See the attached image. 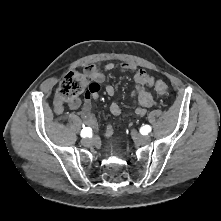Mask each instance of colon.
<instances>
[{
    "instance_id": "colon-1",
    "label": "colon",
    "mask_w": 221,
    "mask_h": 221,
    "mask_svg": "<svg viewBox=\"0 0 221 221\" xmlns=\"http://www.w3.org/2000/svg\"><path fill=\"white\" fill-rule=\"evenodd\" d=\"M85 88H90L88 75L73 71L63 78L57 96L60 100H68L82 94ZM154 88L159 95H166L168 93V85L162 80H158Z\"/></svg>"
}]
</instances>
